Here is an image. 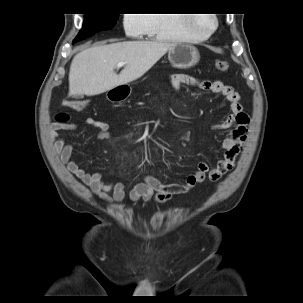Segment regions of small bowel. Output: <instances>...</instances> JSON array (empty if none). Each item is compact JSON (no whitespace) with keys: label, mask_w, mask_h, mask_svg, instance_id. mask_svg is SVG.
Instances as JSON below:
<instances>
[{"label":"small bowel","mask_w":303,"mask_h":303,"mask_svg":"<svg viewBox=\"0 0 303 303\" xmlns=\"http://www.w3.org/2000/svg\"><path fill=\"white\" fill-rule=\"evenodd\" d=\"M170 83L176 91H180L183 85H190L200 90H208L214 94H220L226 100L231 115L211 126L214 130L230 129V132L221 143L224 152L223 157L213 166H210L206 162L199 163L198 170L190 175L184 183L166 184L154 176H146L145 180L135 185L129 193L131 201L153 200L156 203H165L174 196L189 192L197 183L203 182L207 176L211 181L219 180L233 168L246 140L249 117L243 113L240 94L232 86L224 84L221 81H199L183 73L172 74L170 76ZM85 122L98 131L100 139L111 138L110 127L106 122L95 118H87ZM75 129V125L67 123L53 125L50 128L49 138L60 161L71 174L89 187L99 199L110 203L122 202L125 198V186L123 183L106 182L100 174L85 171L76 161L71 159L73 147L67 144L64 139L59 138L58 134L63 130Z\"/></svg>","instance_id":"small-bowel-1"}]
</instances>
